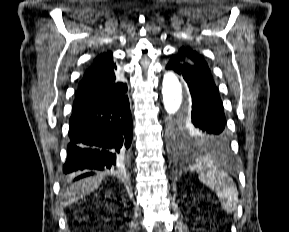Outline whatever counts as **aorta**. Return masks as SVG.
Here are the masks:
<instances>
[{
  "label": "aorta",
  "mask_w": 289,
  "mask_h": 232,
  "mask_svg": "<svg viewBox=\"0 0 289 232\" xmlns=\"http://www.w3.org/2000/svg\"><path fill=\"white\" fill-rule=\"evenodd\" d=\"M163 103L166 112L174 119H187L190 103L188 97L184 100L182 85L173 72H168L162 82Z\"/></svg>",
  "instance_id": "aorta-1"
}]
</instances>
